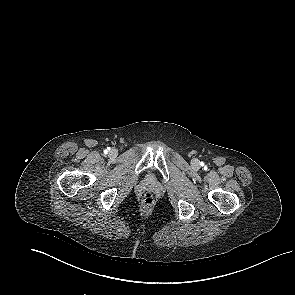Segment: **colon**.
<instances>
[{
  "label": "colon",
  "mask_w": 295,
  "mask_h": 295,
  "mask_svg": "<svg viewBox=\"0 0 295 295\" xmlns=\"http://www.w3.org/2000/svg\"><path fill=\"white\" fill-rule=\"evenodd\" d=\"M143 201H144V203L147 204V205L152 204L153 201H154V196H153V194L150 193V192L145 193V194H144V197H143Z\"/></svg>",
  "instance_id": "colon-1"
}]
</instances>
